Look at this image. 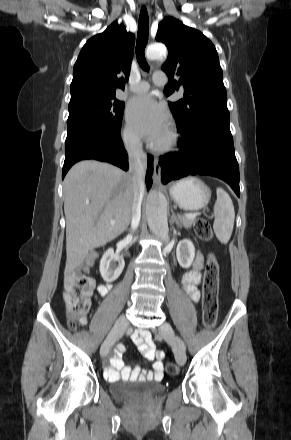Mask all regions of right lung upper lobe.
<instances>
[{
  "label": "right lung upper lobe",
  "instance_id": "right-lung-upper-lobe-1",
  "mask_svg": "<svg viewBox=\"0 0 291 440\" xmlns=\"http://www.w3.org/2000/svg\"><path fill=\"white\" fill-rule=\"evenodd\" d=\"M135 37L113 22L83 46L73 69L71 100L115 96L129 78Z\"/></svg>",
  "mask_w": 291,
  "mask_h": 440
}]
</instances>
